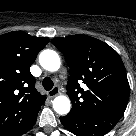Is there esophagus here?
Wrapping results in <instances>:
<instances>
[{
	"label": "esophagus",
	"mask_w": 136,
	"mask_h": 136,
	"mask_svg": "<svg viewBox=\"0 0 136 136\" xmlns=\"http://www.w3.org/2000/svg\"><path fill=\"white\" fill-rule=\"evenodd\" d=\"M59 92H60L59 87L55 86L48 92V96L50 98H53V97L57 96L59 94Z\"/></svg>",
	"instance_id": "1"
}]
</instances>
